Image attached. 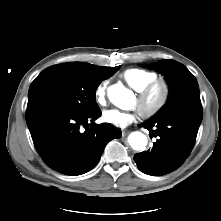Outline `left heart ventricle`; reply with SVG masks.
<instances>
[{"instance_id":"1","label":"left heart ventricle","mask_w":221,"mask_h":221,"mask_svg":"<svg viewBox=\"0 0 221 221\" xmlns=\"http://www.w3.org/2000/svg\"><path fill=\"white\" fill-rule=\"evenodd\" d=\"M159 97H160V90L159 89H157V90H155L153 93H152V95L150 96V98H149V100H148V102H147V106L149 107V106H152L158 99H159ZM136 103H137V105H138V101L136 100Z\"/></svg>"}]
</instances>
